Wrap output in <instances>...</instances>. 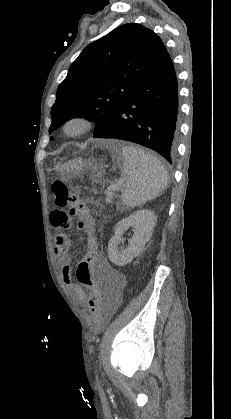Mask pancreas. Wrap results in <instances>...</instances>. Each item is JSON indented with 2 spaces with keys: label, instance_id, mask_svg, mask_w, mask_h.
<instances>
[{
  "label": "pancreas",
  "instance_id": "1",
  "mask_svg": "<svg viewBox=\"0 0 231 419\" xmlns=\"http://www.w3.org/2000/svg\"><path fill=\"white\" fill-rule=\"evenodd\" d=\"M105 193H106V196H107L106 197V202L111 203L112 202V199L114 197L113 190L109 188Z\"/></svg>",
  "mask_w": 231,
  "mask_h": 419
}]
</instances>
